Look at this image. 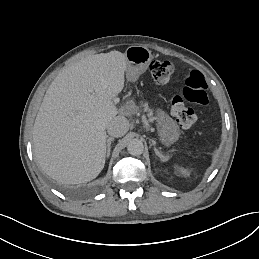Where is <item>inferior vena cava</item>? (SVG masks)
<instances>
[{"label":"inferior vena cava","instance_id":"obj_1","mask_svg":"<svg viewBox=\"0 0 259 259\" xmlns=\"http://www.w3.org/2000/svg\"><path fill=\"white\" fill-rule=\"evenodd\" d=\"M129 130V122L124 116H116L107 126L108 134L118 138L124 136Z\"/></svg>","mask_w":259,"mask_h":259}]
</instances>
